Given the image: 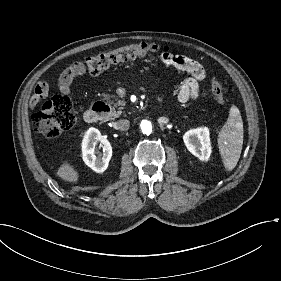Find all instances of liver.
<instances>
[{
  "instance_id": "1",
  "label": "liver",
  "mask_w": 281,
  "mask_h": 281,
  "mask_svg": "<svg viewBox=\"0 0 281 281\" xmlns=\"http://www.w3.org/2000/svg\"><path fill=\"white\" fill-rule=\"evenodd\" d=\"M57 175L68 182H76L78 180V173L68 163H64L57 172Z\"/></svg>"
}]
</instances>
